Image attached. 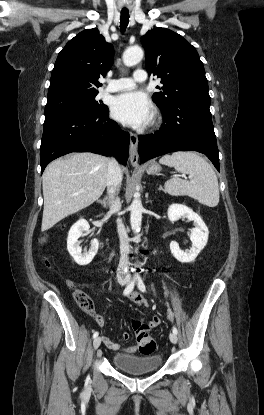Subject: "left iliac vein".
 I'll use <instances>...</instances> for the list:
<instances>
[{"label": "left iliac vein", "mask_w": 264, "mask_h": 415, "mask_svg": "<svg viewBox=\"0 0 264 415\" xmlns=\"http://www.w3.org/2000/svg\"><path fill=\"white\" fill-rule=\"evenodd\" d=\"M169 338H170V341H171L173 344H176V343H177V341H178L177 335H176L174 332H171V333L169 334Z\"/></svg>", "instance_id": "obj_1"}]
</instances>
